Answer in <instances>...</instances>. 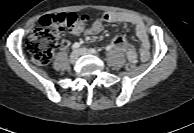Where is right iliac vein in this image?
Returning a JSON list of instances; mask_svg holds the SVG:
<instances>
[{
    "label": "right iliac vein",
    "instance_id": "right-iliac-vein-1",
    "mask_svg": "<svg viewBox=\"0 0 194 133\" xmlns=\"http://www.w3.org/2000/svg\"><path fill=\"white\" fill-rule=\"evenodd\" d=\"M79 54L77 51H73L70 55V62L74 64L78 60Z\"/></svg>",
    "mask_w": 194,
    "mask_h": 133
}]
</instances>
